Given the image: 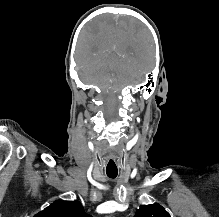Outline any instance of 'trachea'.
Segmentation results:
<instances>
[{
    "label": "trachea",
    "mask_w": 219,
    "mask_h": 217,
    "mask_svg": "<svg viewBox=\"0 0 219 217\" xmlns=\"http://www.w3.org/2000/svg\"><path fill=\"white\" fill-rule=\"evenodd\" d=\"M117 174H118V172H114V173L107 172V176L110 177V178H116Z\"/></svg>",
    "instance_id": "trachea-1"
}]
</instances>
